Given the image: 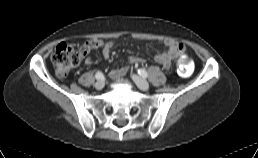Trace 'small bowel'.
I'll list each match as a JSON object with an SVG mask.
<instances>
[{"label": "small bowel", "mask_w": 258, "mask_h": 158, "mask_svg": "<svg viewBox=\"0 0 258 158\" xmlns=\"http://www.w3.org/2000/svg\"><path fill=\"white\" fill-rule=\"evenodd\" d=\"M91 49H99L103 58L108 59L111 54L113 42L91 40L85 43ZM165 49L156 54L155 60L162 65L164 68L169 69L172 61L183 51L185 48L184 44L177 42L174 39H166L164 41ZM131 63L141 64L145 62V59L140 56H133L129 59ZM125 73V69L121 68L112 72L113 75H122Z\"/></svg>", "instance_id": "c3829d8e"}]
</instances>
